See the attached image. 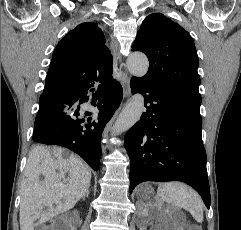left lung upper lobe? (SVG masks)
<instances>
[{
    "label": "left lung upper lobe",
    "mask_w": 241,
    "mask_h": 230,
    "mask_svg": "<svg viewBox=\"0 0 241 230\" xmlns=\"http://www.w3.org/2000/svg\"><path fill=\"white\" fill-rule=\"evenodd\" d=\"M132 51H142L149 70L142 81L158 85L201 102L197 72L199 59L190 34L161 13L147 16Z\"/></svg>",
    "instance_id": "obj_1"
}]
</instances>
